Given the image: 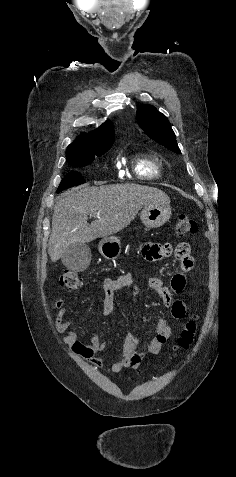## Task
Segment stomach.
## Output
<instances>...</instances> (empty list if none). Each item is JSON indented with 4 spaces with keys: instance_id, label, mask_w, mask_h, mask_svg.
Masks as SVG:
<instances>
[{
    "instance_id": "1",
    "label": "stomach",
    "mask_w": 236,
    "mask_h": 477,
    "mask_svg": "<svg viewBox=\"0 0 236 477\" xmlns=\"http://www.w3.org/2000/svg\"><path fill=\"white\" fill-rule=\"evenodd\" d=\"M171 216L169 204L152 203L143 207L140 218L147 228H158L165 224ZM120 239L115 236L102 238L98 244L99 252L108 260L117 259L121 253Z\"/></svg>"
}]
</instances>
